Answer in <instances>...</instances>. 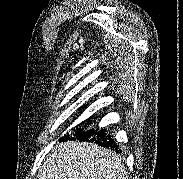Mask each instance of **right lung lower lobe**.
<instances>
[{
    "label": "right lung lower lobe",
    "instance_id": "98d812e1",
    "mask_svg": "<svg viewBox=\"0 0 183 179\" xmlns=\"http://www.w3.org/2000/svg\"><path fill=\"white\" fill-rule=\"evenodd\" d=\"M106 129H101V130H87L83 135L81 136H76L77 139L81 141H89V142H95L96 144L100 146H104L106 148H113L118 152L117 145L114 144V140L112 139L111 136H107L106 133L104 132Z\"/></svg>",
    "mask_w": 183,
    "mask_h": 179
}]
</instances>
